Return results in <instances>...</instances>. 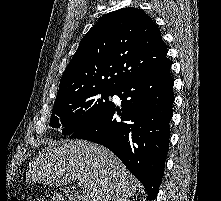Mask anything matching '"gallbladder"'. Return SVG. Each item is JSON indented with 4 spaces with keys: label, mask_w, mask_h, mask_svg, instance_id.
<instances>
[{
    "label": "gallbladder",
    "mask_w": 221,
    "mask_h": 201,
    "mask_svg": "<svg viewBox=\"0 0 221 201\" xmlns=\"http://www.w3.org/2000/svg\"><path fill=\"white\" fill-rule=\"evenodd\" d=\"M63 192L65 193L66 196H71V193L68 190H63Z\"/></svg>",
    "instance_id": "bac80fb5"
}]
</instances>
